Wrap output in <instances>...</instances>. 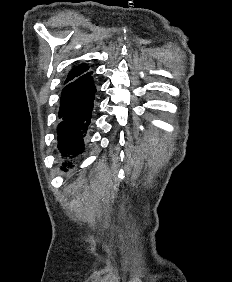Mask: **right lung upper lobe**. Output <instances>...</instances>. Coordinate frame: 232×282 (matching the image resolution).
Here are the masks:
<instances>
[{
  "label": "right lung upper lobe",
  "instance_id": "obj_1",
  "mask_svg": "<svg viewBox=\"0 0 232 282\" xmlns=\"http://www.w3.org/2000/svg\"><path fill=\"white\" fill-rule=\"evenodd\" d=\"M88 66L86 64H81L75 68H73L69 73L66 78V81L72 80L82 74H84L88 70ZM65 81V82H66Z\"/></svg>",
  "mask_w": 232,
  "mask_h": 282
}]
</instances>
